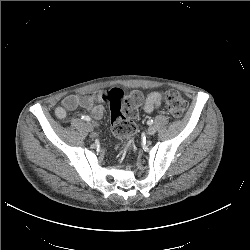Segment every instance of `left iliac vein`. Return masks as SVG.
<instances>
[{
	"label": "left iliac vein",
	"instance_id": "obj_1",
	"mask_svg": "<svg viewBox=\"0 0 250 250\" xmlns=\"http://www.w3.org/2000/svg\"><path fill=\"white\" fill-rule=\"evenodd\" d=\"M147 133L149 135H154L156 133V129L151 126V127L148 128Z\"/></svg>",
	"mask_w": 250,
	"mask_h": 250
}]
</instances>
